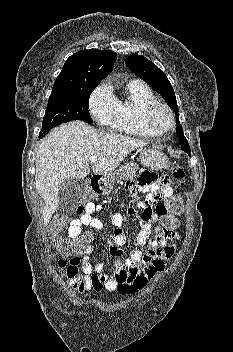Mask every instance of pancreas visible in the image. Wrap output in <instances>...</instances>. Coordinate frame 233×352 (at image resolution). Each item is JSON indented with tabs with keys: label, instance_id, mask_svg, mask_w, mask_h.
Listing matches in <instances>:
<instances>
[{
	"label": "pancreas",
	"instance_id": "1",
	"mask_svg": "<svg viewBox=\"0 0 233 352\" xmlns=\"http://www.w3.org/2000/svg\"><path fill=\"white\" fill-rule=\"evenodd\" d=\"M136 163H126L122 165L116 173V182H120L122 179H133L136 177V171L138 170Z\"/></svg>",
	"mask_w": 233,
	"mask_h": 352
}]
</instances>
